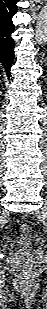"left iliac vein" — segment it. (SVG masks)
I'll use <instances>...</instances> for the list:
<instances>
[{"mask_svg": "<svg viewBox=\"0 0 47 309\" xmlns=\"http://www.w3.org/2000/svg\"><path fill=\"white\" fill-rule=\"evenodd\" d=\"M38 214L42 217L46 216V207H43L40 211H38Z\"/></svg>", "mask_w": 47, "mask_h": 309, "instance_id": "4c4485c4", "label": "left iliac vein"}]
</instances>
